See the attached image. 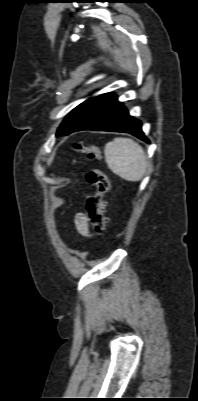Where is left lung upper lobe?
I'll use <instances>...</instances> for the list:
<instances>
[{
	"instance_id": "5c2ea615",
	"label": "left lung upper lobe",
	"mask_w": 198,
	"mask_h": 401,
	"mask_svg": "<svg viewBox=\"0 0 198 401\" xmlns=\"http://www.w3.org/2000/svg\"><path fill=\"white\" fill-rule=\"evenodd\" d=\"M95 99V97L89 98L85 102L78 105L74 108L64 119L61 123L60 127L58 128L57 134L60 135L66 132L70 126L74 123V121L78 118V116L85 110V108Z\"/></svg>"
}]
</instances>
